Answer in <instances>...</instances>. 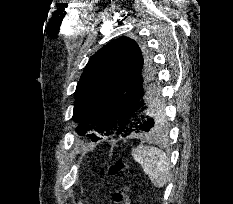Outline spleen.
<instances>
[{
	"label": "spleen",
	"instance_id": "spleen-1",
	"mask_svg": "<svg viewBox=\"0 0 233 204\" xmlns=\"http://www.w3.org/2000/svg\"><path fill=\"white\" fill-rule=\"evenodd\" d=\"M132 155L155 187L162 188L167 184L170 179L171 164L164 151L154 146L140 145L132 150Z\"/></svg>",
	"mask_w": 233,
	"mask_h": 204
}]
</instances>
